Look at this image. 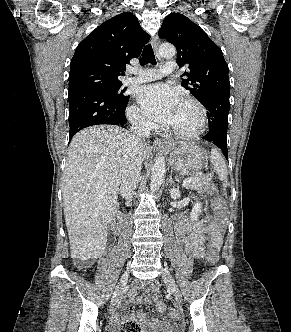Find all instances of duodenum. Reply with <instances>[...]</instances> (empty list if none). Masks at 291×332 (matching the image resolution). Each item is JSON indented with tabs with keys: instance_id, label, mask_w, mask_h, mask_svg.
Here are the masks:
<instances>
[{
	"instance_id": "410a0bca",
	"label": "duodenum",
	"mask_w": 291,
	"mask_h": 332,
	"mask_svg": "<svg viewBox=\"0 0 291 332\" xmlns=\"http://www.w3.org/2000/svg\"><path fill=\"white\" fill-rule=\"evenodd\" d=\"M121 227H122V215L118 214L112 222V228L115 232H119Z\"/></svg>"
}]
</instances>
